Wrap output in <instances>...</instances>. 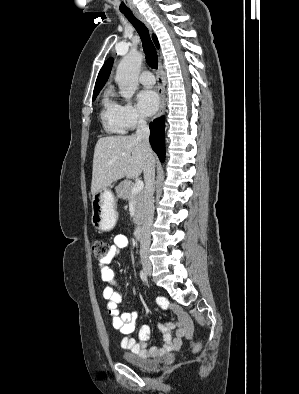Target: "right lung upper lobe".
I'll return each mask as SVG.
<instances>
[{
	"mask_svg": "<svg viewBox=\"0 0 299 394\" xmlns=\"http://www.w3.org/2000/svg\"><path fill=\"white\" fill-rule=\"evenodd\" d=\"M153 40H154V43L156 44V46L158 48L159 47V43H158L157 37L155 35H153ZM112 64H113V59L112 58L108 59L104 63L103 67L101 68V70H100V72L98 74L93 95L94 94H99L100 90L103 88L104 84L108 80Z\"/></svg>",
	"mask_w": 299,
	"mask_h": 394,
	"instance_id": "1",
	"label": "right lung upper lobe"
}]
</instances>
